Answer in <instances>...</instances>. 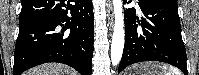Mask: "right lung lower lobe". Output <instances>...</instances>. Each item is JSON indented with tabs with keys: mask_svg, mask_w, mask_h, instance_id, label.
I'll list each match as a JSON object with an SVG mask.
<instances>
[{
	"mask_svg": "<svg viewBox=\"0 0 199 75\" xmlns=\"http://www.w3.org/2000/svg\"><path fill=\"white\" fill-rule=\"evenodd\" d=\"M21 4L13 75L47 62L64 63L91 75L92 0H21Z\"/></svg>",
	"mask_w": 199,
	"mask_h": 75,
	"instance_id": "right-lung-lower-lobe-1",
	"label": "right lung lower lobe"
}]
</instances>
